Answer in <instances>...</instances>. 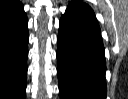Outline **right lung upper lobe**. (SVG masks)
<instances>
[{
	"label": "right lung upper lobe",
	"mask_w": 128,
	"mask_h": 99,
	"mask_svg": "<svg viewBox=\"0 0 128 99\" xmlns=\"http://www.w3.org/2000/svg\"><path fill=\"white\" fill-rule=\"evenodd\" d=\"M20 5H21V2L18 0H1L0 1V17Z\"/></svg>",
	"instance_id": "cb5924a9"
}]
</instances>
